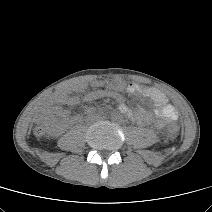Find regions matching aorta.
<instances>
[{
  "mask_svg": "<svg viewBox=\"0 0 212 212\" xmlns=\"http://www.w3.org/2000/svg\"><path fill=\"white\" fill-rule=\"evenodd\" d=\"M110 117H111V120L117 124L122 123L125 119L124 114L120 111L112 112Z\"/></svg>",
  "mask_w": 212,
  "mask_h": 212,
  "instance_id": "762f6f07",
  "label": "aorta"
}]
</instances>
